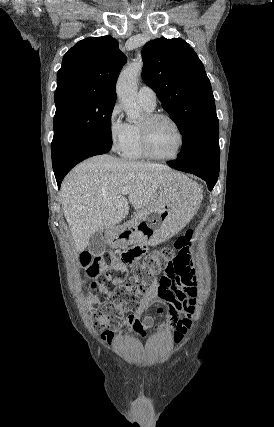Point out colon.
Segmentation results:
<instances>
[{"label": "colon", "mask_w": 274, "mask_h": 427, "mask_svg": "<svg viewBox=\"0 0 274 427\" xmlns=\"http://www.w3.org/2000/svg\"><path fill=\"white\" fill-rule=\"evenodd\" d=\"M174 249L169 246L147 254V247L140 243L126 252L118 250L101 256L90 257L88 251H79L77 259L86 276H95L99 272L101 262L105 265L103 276L92 286L96 292L92 301L94 310L90 315L92 325L97 330H101L107 318L119 317L120 307L134 310L138 303V296L146 292L154 276L166 271L168 257L176 254ZM142 257H144L143 263L137 266L128 278H123L127 263H135ZM74 288L78 292H83L87 288V283L83 279H78L74 283ZM109 294H114L115 299L113 302L106 303L105 300ZM99 305L102 306L100 310L96 309Z\"/></svg>", "instance_id": "5ec220e1"}]
</instances>
